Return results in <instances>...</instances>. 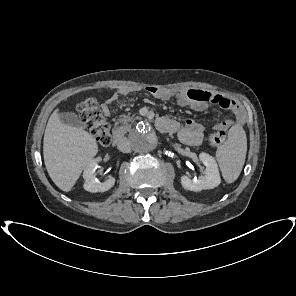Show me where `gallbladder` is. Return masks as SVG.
<instances>
[{
    "label": "gallbladder",
    "mask_w": 296,
    "mask_h": 296,
    "mask_svg": "<svg viewBox=\"0 0 296 296\" xmlns=\"http://www.w3.org/2000/svg\"><path fill=\"white\" fill-rule=\"evenodd\" d=\"M62 123L68 126L82 128L84 123L78 118L75 113L72 112H62L59 114Z\"/></svg>",
    "instance_id": "1"
}]
</instances>
